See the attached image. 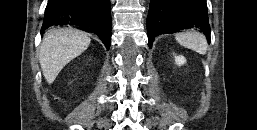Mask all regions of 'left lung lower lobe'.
Listing matches in <instances>:
<instances>
[{"mask_svg":"<svg viewBox=\"0 0 257 130\" xmlns=\"http://www.w3.org/2000/svg\"><path fill=\"white\" fill-rule=\"evenodd\" d=\"M199 28L210 40L206 0H151L147 17L148 44L160 34Z\"/></svg>","mask_w":257,"mask_h":130,"instance_id":"obj_1","label":"left lung lower lobe"}]
</instances>
